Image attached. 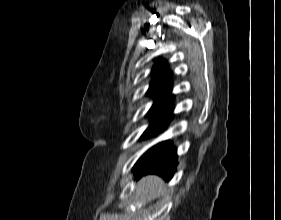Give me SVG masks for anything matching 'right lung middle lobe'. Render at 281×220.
<instances>
[{"label":"right lung middle lobe","instance_id":"dd1d6c3e","mask_svg":"<svg viewBox=\"0 0 281 220\" xmlns=\"http://www.w3.org/2000/svg\"><path fill=\"white\" fill-rule=\"evenodd\" d=\"M169 122H170V119H152L150 121V126L143 133L141 138L146 139V138L157 135L159 132H161L163 129L166 128V126L168 125Z\"/></svg>","mask_w":281,"mask_h":220}]
</instances>
